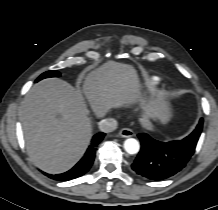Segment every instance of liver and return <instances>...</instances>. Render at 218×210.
<instances>
[{
	"instance_id": "6515ba94",
	"label": "liver",
	"mask_w": 218,
	"mask_h": 210,
	"mask_svg": "<svg viewBox=\"0 0 218 210\" xmlns=\"http://www.w3.org/2000/svg\"><path fill=\"white\" fill-rule=\"evenodd\" d=\"M84 95L93 112L103 117L112 108L138 103L140 122L167 123L170 107L161 96L146 100L135 68L108 61L84 79ZM85 98L66 81L50 78L35 84L22 102L21 123L28 155L41 170L57 174L72 168L86 151L92 124Z\"/></svg>"
}]
</instances>
